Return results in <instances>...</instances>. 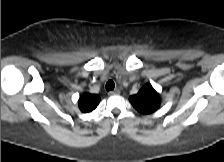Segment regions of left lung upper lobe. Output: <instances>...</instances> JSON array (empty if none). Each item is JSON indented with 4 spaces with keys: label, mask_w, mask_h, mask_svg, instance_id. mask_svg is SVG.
I'll return each instance as SVG.
<instances>
[{
    "label": "left lung upper lobe",
    "mask_w": 224,
    "mask_h": 162,
    "mask_svg": "<svg viewBox=\"0 0 224 162\" xmlns=\"http://www.w3.org/2000/svg\"><path fill=\"white\" fill-rule=\"evenodd\" d=\"M129 100L138 112L144 114L153 113L160 106L159 95L150 83L143 86L139 92L131 96Z\"/></svg>",
    "instance_id": "left-lung-upper-lobe-1"
}]
</instances>
